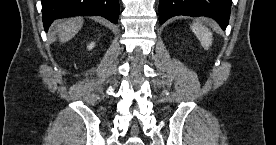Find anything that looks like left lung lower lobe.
<instances>
[{
    "mask_svg": "<svg viewBox=\"0 0 276 145\" xmlns=\"http://www.w3.org/2000/svg\"><path fill=\"white\" fill-rule=\"evenodd\" d=\"M232 0H159V21L163 24L176 15L207 16L226 29Z\"/></svg>",
    "mask_w": 276,
    "mask_h": 145,
    "instance_id": "0a47b994",
    "label": "left lung lower lobe"
}]
</instances>
